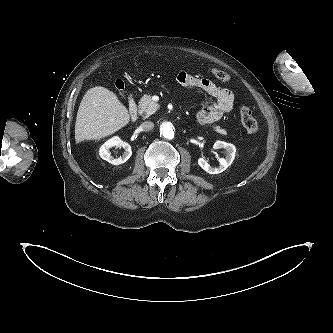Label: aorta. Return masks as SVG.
<instances>
[{
	"mask_svg": "<svg viewBox=\"0 0 333 333\" xmlns=\"http://www.w3.org/2000/svg\"><path fill=\"white\" fill-rule=\"evenodd\" d=\"M161 132L163 136L167 139H172L174 137V130L170 123H163L161 126Z\"/></svg>",
	"mask_w": 333,
	"mask_h": 333,
	"instance_id": "obj_1",
	"label": "aorta"
}]
</instances>
